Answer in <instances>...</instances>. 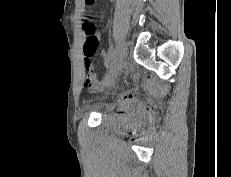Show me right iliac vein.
<instances>
[{"mask_svg":"<svg viewBox=\"0 0 231 177\" xmlns=\"http://www.w3.org/2000/svg\"><path fill=\"white\" fill-rule=\"evenodd\" d=\"M124 56H125V44L124 42L120 41L116 46L113 66L106 77L107 84L111 83L112 81H114V79L117 78L123 66Z\"/></svg>","mask_w":231,"mask_h":177,"instance_id":"63e3f726","label":"right iliac vein"}]
</instances>
